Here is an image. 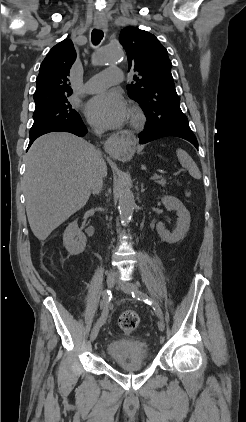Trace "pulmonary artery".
I'll use <instances>...</instances> for the list:
<instances>
[{"instance_id":"pulmonary-artery-1","label":"pulmonary artery","mask_w":246,"mask_h":422,"mask_svg":"<svg viewBox=\"0 0 246 422\" xmlns=\"http://www.w3.org/2000/svg\"><path fill=\"white\" fill-rule=\"evenodd\" d=\"M123 80V72L119 68H109L91 77L84 85L85 93H95L101 91L111 84L119 83Z\"/></svg>"}]
</instances>
